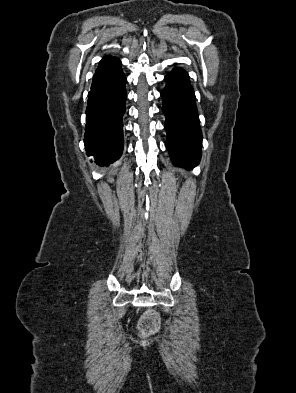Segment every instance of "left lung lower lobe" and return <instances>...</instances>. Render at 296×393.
<instances>
[{
    "instance_id": "0a47b994",
    "label": "left lung lower lobe",
    "mask_w": 296,
    "mask_h": 393,
    "mask_svg": "<svg viewBox=\"0 0 296 393\" xmlns=\"http://www.w3.org/2000/svg\"><path fill=\"white\" fill-rule=\"evenodd\" d=\"M165 81L161 96L166 116V146L174 165L192 169L200 161L202 145L195 93L188 73L182 68L173 69Z\"/></svg>"
}]
</instances>
